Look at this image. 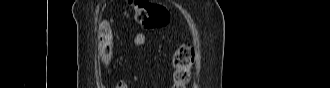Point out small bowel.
Returning a JSON list of instances; mask_svg holds the SVG:
<instances>
[{
	"label": "small bowel",
	"instance_id": "obj_1",
	"mask_svg": "<svg viewBox=\"0 0 330 88\" xmlns=\"http://www.w3.org/2000/svg\"><path fill=\"white\" fill-rule=\"evenodd\" d=\"M109 29V25L106 23L103 26V32L104 34L107 33ZM147 40V36L144 33H138L135 37H134V45L137 49L141 48ZM117 88H127V84L124 81H121L118 83Z\"/></svg>",
	"mask_w": 330,
	"mask_h": 88
}]
</instances>
